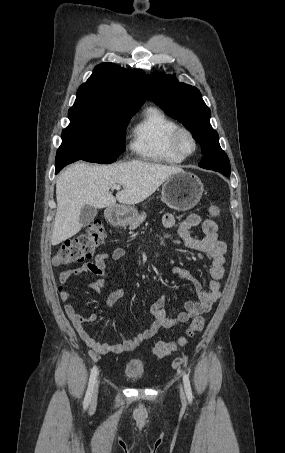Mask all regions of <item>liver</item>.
I'll use <instances>...</instances> for the list:
<instances>
[{"label": "liver", "mask_w": 285, "mask_h": 453, "mask_svg": "<svg viewBox=\"0 0 285 453\" xmlns=\"http://www.w3.org/2000/svg\"><path fill=\"white\" fill-rule=\"evenodd\" d=\"M183 171L178 166L133 160L113 165L78 162L56 180L57 211L52 231L53 246L76 235L82 227L79 217L85 205L95 208L140 203L152 195L171 175ZM122 185L114 197L109 189Z\"/></svg>", "instance_id": "1"}]
</instances>
